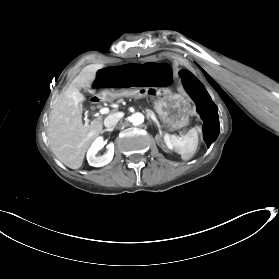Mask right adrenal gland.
<instances>
[{
    "label": "right adrenal gland",
    "instance_id": "right-adrenal-gland-1",
    "mask_svg": "<svg viewBox=\"0 0 279 279\" xmlns=\"http://www.w3.org/2000/svg\"><path fill=\"white\" fill-rule=\"evenodd\" d=\"M113 129L114 128H112V129L107 128V129H104L101 133H104V132H107V131H113Z\"/></svg>",
    "mask_w": 279,
    "mask_h": 279
}]
</instances>
